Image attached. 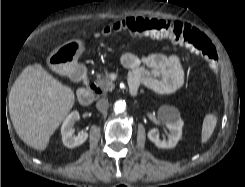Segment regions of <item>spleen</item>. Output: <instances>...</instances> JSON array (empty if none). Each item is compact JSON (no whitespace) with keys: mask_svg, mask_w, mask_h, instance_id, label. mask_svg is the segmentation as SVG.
<instances>
[{"mask_svg":"<svg viewBox=\"0 0 245 187\" xmlns=\"http://www.w3.org/2000/svg\"><path fill=\"white\" fill-rule=\"evenodd\" d=\"M216 124H217V117L216 115L214 114H207L205 117H204V120H203V125H202V131H201V142L202 143H206L215 127H216Z\"/></svg>","mask_w":245,"mask_h":187,"instance_id":"3e777b00","label":"spleen"}]
</instances>
